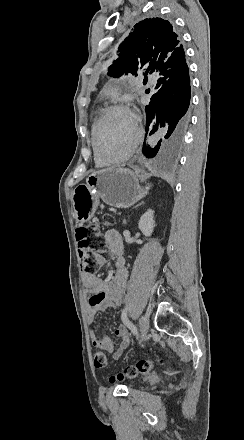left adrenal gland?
Masks as SVG:
<instances>
[{"label": "left adrenal gland", "instance_id": "left-adrenal-gland-1", "mask_svg": "<svg viewBox=\"0 0 244 440\" xmlns=\"http://www.w3.org/2000/svg\"><path fill=\"white\" fill-rule=\"evenodd\" d=\"M141 204H144V202H141ZM141 204H137V206H135V208H138V206H141Z\"/></svg>", "mask_w": 244, "mask_h": 440}]
</instances>
